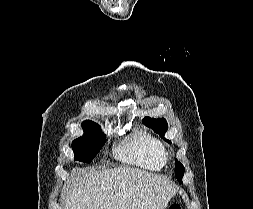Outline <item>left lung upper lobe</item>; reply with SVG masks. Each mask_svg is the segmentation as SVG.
<instances>
[{"instance_id":"obj_1","label":"left lung upper lobe","mask_w":253,"mask_h":209,"mask_svg":"<svg viewBox=\"0 0 253 209\" xmlns=\"http://www.w3.org/2000/svg\"><path fill=\"white\" fill-rule=\"evenodd\" d=\"M143 122L146 126L152 128L156 133H159L162 137L168 129V124L164 118L155 119V118L145 117ZM164 140L166 139L164 138ZM166 141L171 143L169 140H166ZM175 168H176V174H175L176 178L178 181L182 182V177L185 171L184 166L179 161L176 160Z\"/></svg>"}]
</instances>
